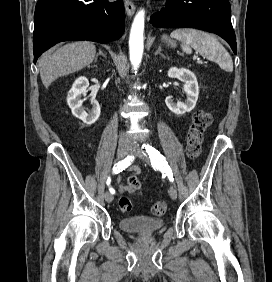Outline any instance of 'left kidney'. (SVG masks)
Returning <instances> with one entry per match:
<instances>
[{"instance_id":"1","label":"left kidney","mask_w":272,"mask_h":282,"mask_svg":"<svg viewBox=\"0 0 272 282\" xmlns=\"http://www.w3.org/2000/svg\"><path fill=\"white\" fill-rule=\"evenodd\" d=\"M169 78H177L180 81L185 82L184 91L186 93L187 99L185 102L175 103L171 96L166 97L165 103L168 109L177 114L183 115L186 112H190L194 109L199 95V86L194 73L186 68H176L172 67L168 70Z\"/></svg>"}]
</instances>
